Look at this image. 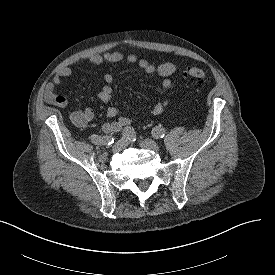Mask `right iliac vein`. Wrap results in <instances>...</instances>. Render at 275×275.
Wrapping results in <instances>:
<instances>
[{
  "mask_svg": "<svg viewBox=\"0 0 275 275\" xmlns=\"http://www.w3.org/2000/svg\"><path fill=\"white\" fill-rule=\"evenodd\" d=\"M126 145H127V140L125 138H122L112 146V150L114 152H120L126 147Z\"/></svg>",
  "mask_w": 275,
  "mask_h": 275,
  "instance_id": "1",
  "label": "right iliac vein"
}]
</instances>
